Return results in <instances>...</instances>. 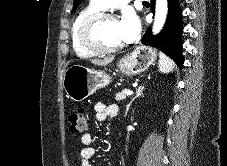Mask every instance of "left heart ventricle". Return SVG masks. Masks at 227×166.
<instances>
[{
	"label": "left heart ventricle",
	"mask_w": 227,
	"mask_h": 166,
	"mask_svg": "<svg viewBox=\"0 0 227 166\" xmlns=\"http://www.w3.org/2000/svg\"><path fill=\"white\" fill-rule=\"evenodd\" d=\"M95 37L105 47H114L124 42L117 19L101 22L95 29Z\"/></svg>",
	"instance_id": "obj_1"
}]
</instances>
